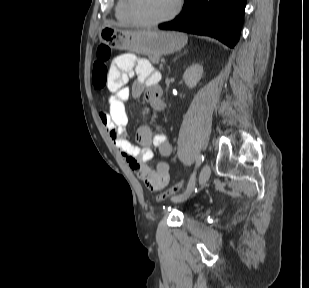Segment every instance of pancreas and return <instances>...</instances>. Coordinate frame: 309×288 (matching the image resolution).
Segmentation results:
<instances>
[{
  "mask_svg": "<svg viewBox=\"0 0 309 288\" xmlns=\"http://www.w3.org/2000/svg\"><path fill=\"white\" fill-rule=\"evenodd\" d=\"M160 57H149V60L151 61V63L153 64H157L159 62Z\"/></svg>",
  "mask_w": 309,
  "mask_h": 288,
  "instance_id": "1",
  "label": "pancreas"
}]
</instances>
